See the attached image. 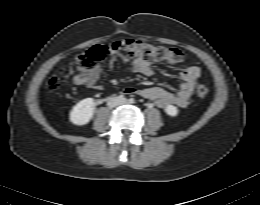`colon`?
Instances as JSON below:
<instances>
[{
    "instance_id": "5ec220e1",
    "label": "colon",
    "mask_w": 260,
    "mask_h": 205,
    "mask_svg": "<svg viewBox=\"0 0 260 205\" xmlns=\"http://www.w3.org/2000/svg\"><path fill=\"white\" fill-rule=\"evenodd\" d=\"M112 49L121 52L125 57L142 58L145 60L164 61L170 64H179L183 60V53L178 48L153 45L139 40H121L113 43ZM108 49L105 46H94L90 50L76 56L72 65L78 75H86L95 70L98 64L106 57ZM61 72L51 77L47 82L50 92H56L61 83ZM209 93V87L204 83H197L194 94L204 98Z\"/></svg>"
}]
</instances>
